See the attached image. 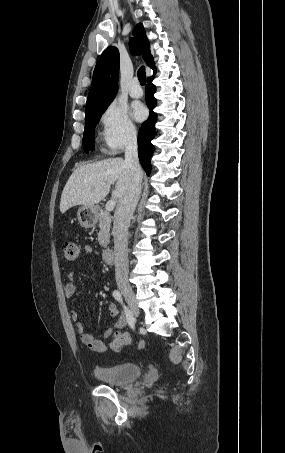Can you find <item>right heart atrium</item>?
<instances>
[{
	"mask_svg": "<svg viewBox=\"0 0 285 453\" xmlns=\"http://www.w3.org/2000/svg\"><path fill=\"white\" fill-rule=\"evenodd\" d=\"M102 140L110 154L120 153L137 138V128L127 109L120 104L111 103L102 113Z\"/></svg>",
	"mask_w": 285,
	"mask_h": 453,
	"instance_id": "obj_1",
	"label": "right heart atrium"
}]
</instances>
